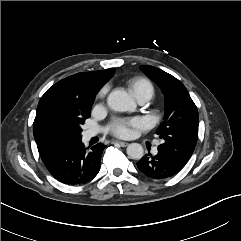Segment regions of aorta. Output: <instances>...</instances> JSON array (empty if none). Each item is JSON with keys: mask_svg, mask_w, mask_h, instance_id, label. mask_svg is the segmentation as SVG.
Instances as JSON below:
<instances>
[{"mask_svg": "<svg viewBox=\"0 0 241 241\" xmlns=\"http://www.w3.org/2000/svg\"><path fill=\"white\" fill-rule=\"evenodd\" d=\"M108 106L118 112L134 111L136 104L133 98L123 90H113L107 98ZM127 155L132 159H141L144 155L143 147L138 143L128 145Z\"/></svg>", "mask_w": 241, "mask_h": 241, "instance_id": "obj_1", "label": "aorta"}]
</instances>
